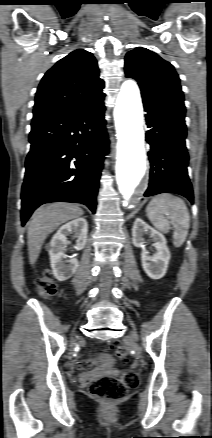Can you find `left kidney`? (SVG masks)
I'll return each instance as SVG.
<instances>
[{
  "label": "left kidney",
  "mask_w": 212,
  "mask_h": 438,
  "mask_svg": "<svg viewBox=\"0 0 212 438\" xmlns=\"http://www.w3.org/2000/svg\"><path fill=\"white\" fill-rule=\"evenodd\" d=\"M144 234H149L155 242L156 252L153 255H150L149 251L145 248L143 242ZM132 242L134 246L142 249L141 261L145 273L152 279L162 278L167 271L171 257L164 235L152 228L141 218H136L132 228Z\"/></svg>",
  "instance_id": "1"
}]
</instances>
